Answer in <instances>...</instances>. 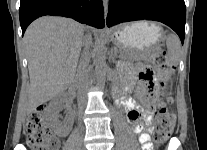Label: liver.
I'll return each mask as SVG.
<instances>
[{
  "instance_id": "liver-1",
  "label": "liver",
  "mask_w": 207,
  "mask_h": 150,
  "mask_svg": "<svg viewBox=\"0 0 207 150\" xmlns=\"http://www.w3.org/2000/svg\"><path fill=\"white\" fill-rule=\"evenodd\" d=\"M86 28L69 18L44 16L26 30L30 86L25 112L55 98L74 81Z\"/></svg>"
}]
</instances>
